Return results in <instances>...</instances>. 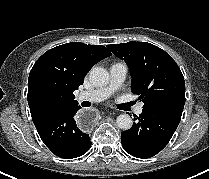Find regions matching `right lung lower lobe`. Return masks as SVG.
Listing matches in <instances>:
<instances>
[{"label": "right lung lower lobe", "instance_id": "1", "mask_svg": "<svg viewBox=\"0 0 209 179\" xmlns=\"http://www.w3.org/2000/svg\"><path fill=\"white\" fill-rule=\"evenodd\" d=\"M80 108L78 105L68 107L37 129L44 144L58 157L76 158L91 147L89 135L77 126L74 119Z\"/></svg>", "mask_w": 209, "mask_h": 179}]
</instances>
